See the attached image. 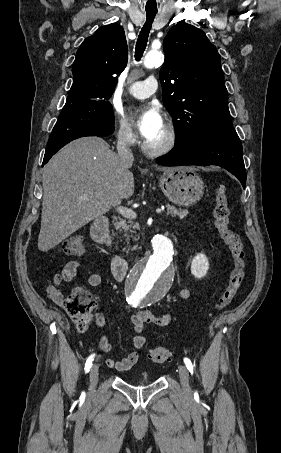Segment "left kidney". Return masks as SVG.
I'll use <instances>...</instances> for the list:
<instances>
[{"label":"left kidney","instance_id":"obj_1","mask_svg":"<svg viewBox=\"0 0 281 453\" xmlns=\"http://www.w3.org/2000/svg\"><path fill=\"white\" fill-rule=\"evenodd\" d=\"M209 269V261L206 255H202V253H198L196 257H194L191 263V273L197 279H201V277H205L207 275V271Z\"/></svg>","mask_w":281,"mask_h":453}]
</instances>
